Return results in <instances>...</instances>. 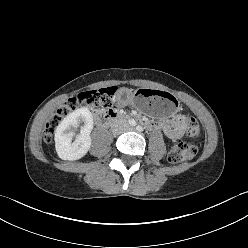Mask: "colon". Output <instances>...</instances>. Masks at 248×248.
I'll use <instances>...</instances> for the list:
<instances>
[{
  "instance_id": "1",
  "label": "colon",
  "mask_w": 248,
  "mask_h": 248,
  "mask_svg": "<svg viewBox=\"0 0 248 248\" xmlns=\"http://www.w3.org/2000/svg\"><path fill=\"white\" fill-rule=\"evenodd\" d=\"M117 88L108 87L98 90H90L79 93L71 97L60 109L54 113L48 122L46 123L44 130V141L51 143L53 134L57 126L60 124L63 118H65L70 112L74 111L79 105H86L91 107L94 111L104 112L111 110L116 103L114 102V93ZM201 128L199 123L195 119H190L187 128V134L189 137L196 138L200 135ZM197 152L195 145L186 142L184 140H178L173 146L168 155V160L171 163H179L182 161L192 159Z\"/></svg>"
}]
</instances>
